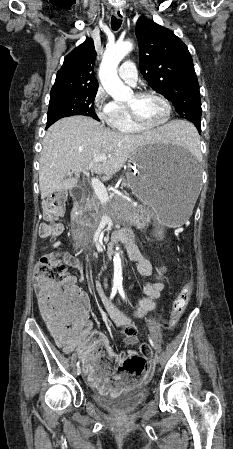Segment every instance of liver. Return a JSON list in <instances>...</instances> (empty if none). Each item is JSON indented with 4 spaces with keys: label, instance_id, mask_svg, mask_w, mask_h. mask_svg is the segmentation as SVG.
I'll return each mask as SVG.
<instances>
[{
    "label": "liver",
    "instance_id": "obj_1",
    "mask_svg": "<svg viewBox=\"0 0 233 449\" xmlns=\"http://www.w3.org/2000/svg\"><path fill=\"white\" fill-rule=\"evenodd\" d=\"M179 123L173 121L139 135H130L112 131L87 116L60 119L49 127L43 140L39 170L41 198L74 188L77 178H66L70 171L76 174L91 171L109 179L139 147L173 142L174 136L180 134ZM103 154L108 156L105 161H93L95 156Z\"/></svg>",
    "mask_w": 233,
    "mask_h": 449
}]
</instances>
